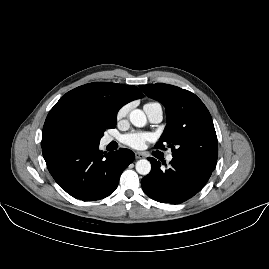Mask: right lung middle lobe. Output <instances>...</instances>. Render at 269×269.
I'll use <instances>...</instances> for the list:
<instances>
[{
  "instance_id": "right-lung-middle-lobe-1",
  "label": "right lung middle lobe",
  "mask_w": 269,
  "mask_h": 269,
  "mask_svg": "<svg viewBox=\"0 0 269 269\" xmlns=\"http://www.w3.org/2000/svg\"><path fill=\"white\" fill-rule=\"evenodd\" d=\"M117 114L69 111L59 114L52 127L56 136L70 137L81 144L99 143L107 129L115 128Z\"/></svg>"
}]
</instances>
